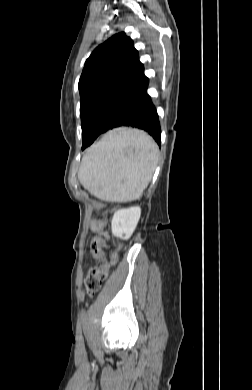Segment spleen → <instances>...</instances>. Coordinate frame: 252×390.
<instances>
[{
	"label": "spleen",
	"mask_w": 252,
	"mask_h": 390,
	"mask_svg": "<svg viewBox=\"0 0 252 390\" xmlns=\"http://www.w3.org/2000/svg\"><path fill=\"white\" fill-rule=\"evenodd\" d=\"M159 149L146 133L134 129L109 132L82 158L78 179L95 197L108 202L140 198L148 186Z\"/></svg>",
	"instance_id": "1"
}]
</instances>
